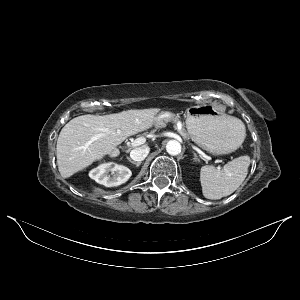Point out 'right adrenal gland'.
<instances>
[{
    "mask_svg": "<svg viewBox=\"0 0 300 300\" xmlns=\"http://www.w3.org/2000/svg\"><path fill=\"white\" fill-rule=\"evenodd\" d=\"M127 159H128L129 162L136 165V167H139L141 165V162H135V161L131 160L129 157H127Z\"/></svg>",
    "mask_w": 300,
    "mask_h": 300,
    "instance_id": "right-adrenal-gland-1",
    "label": "right adrenal gland"
}]
</instances>
